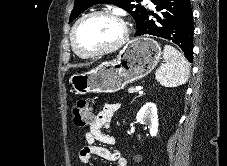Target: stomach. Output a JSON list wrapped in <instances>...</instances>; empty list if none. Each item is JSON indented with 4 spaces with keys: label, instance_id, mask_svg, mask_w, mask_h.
Masks as SVG:
<instances>
[{
    "label": "stomach",
    "instance_id": "0dacf381",
    "mask_svg": "<svg viewBox=\"0 0 227 166\" xmlns=\"http://www.w3.org/2000/svg\"><path fill=\"white\" fill-rule=\"evenodd\" d=\"M161 54V46L155 40L136 38L115 60L103 62L88 72L74 73L69 83L77 95L114 93L148 75L158 64Z\"/></svg>",
    "mask_w": 227,
    "mask_h": 166
}]
</instances>
